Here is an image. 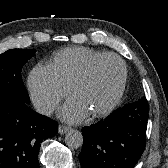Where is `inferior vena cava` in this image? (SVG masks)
Returning a JSON list of instances; mask_svg holds the SVG:
<instances>
[{"label":"inferior vena cava","mask_w":168,"mask_h":168,"mask_svg":"<svg viewBox=\"0 0 168 168\" xmlns=\"http://www.w3.org/2000/svg\"><path fill=\"white\" fill-rule=\"evenodd\" d=\"M36 111L42 115H50L54 111V105L51 103H38L35 105Z\"/></svg>","instance_id":"602c4592"}]
</instances>
